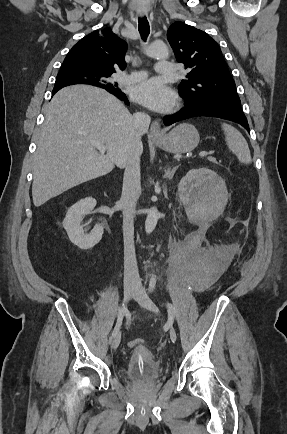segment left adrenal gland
I'll return each mask as SVG.
<instances>
[{"mask_svg":"<svg viewBox=\"0 0 287 434\" xmlns=\"http://www.w3.org/2000/svg\"><path fill=\"white\" fill-rule=\"evenodd\" d=\"M177 169H178V166L174 167L173 169H171L169 166H167V169L164 170V172H165L164 177L171 180Z\"/></svg>","mask_w":287,"mask_h":434,"instance_id":"obj_1","label":"left adrenal gland"}]
</instances>
